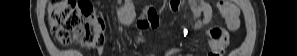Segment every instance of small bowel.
Here are the masks:
<instances>
[{
  "mask_svg": "<svg viewBox=\"0 0 297 56\" xmlns=\"http://www.w3.org/2000/svg\"><path fill=\"white\" fill-rule=\"evenodd\" d=\"M189 3L194 14V28L200 29L207 25L213 16L214 7L203 0H192ZM183 4V1L172 0L170 2V7L172 10H178ZM218 9L220 10L221 18L227 28L231 31L236 30L239 21L234 7L231 4H224L219 5ZM117 16L123 25H131L135 19L133 2L131 0H124L117 9ZM158 24V16L153 8L147 9L137 22L139 29L153 28L158 26ZM207 36V42L211 49L209 56H213V54L221 55L229 44L230 36L228 30L223 27H214L208 30ZM101 51L102 49H100V52ZM168 55H172V53H169Z\"/></svg>",
  "mask_w": 297,
  "mask_h": 56,
  "instance_id": "obj_1",
  "label": "small bowel"
}]
</instances>
